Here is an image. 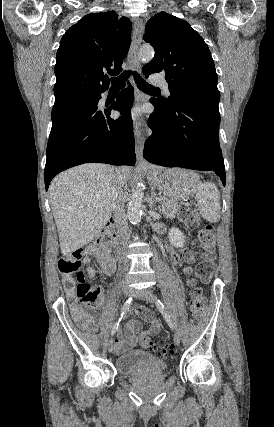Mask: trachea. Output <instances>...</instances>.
I'll return each mask as SVG.
<instances>
[{"label": "trachea", "instance_id": "obj_1", "mask_svg": "<svg viewBox=\"0 0 274 427\" xmlns=\"http://www.w3.org/2000/svg\"><path fill=\"white\" fill-rule=\"evenodd\" d=\"M130 76V71L122 73L119 77L112 79V88H124L126 79ZM134 78L136 80L137 86L143 92H148L150 90H160L158 87H153L147 83L138 73H134Z\"/></svg>", "mask_w": 274, "mask_h": 427}]
</instances>
